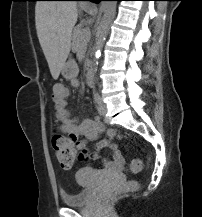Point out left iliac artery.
Returning <instances> with one entry per match:
<instances>
[{
    "label": "left iliac artery",
    "mask_w": 202,
    "mask_h": 217,
    "mask_svg": "<svg viewBox=\"0 0 202 217\" xmlns=\"http://www.w3.org/2000/svg\"><path fill=\"white\" fill-rule=\"evenodd\" d=\"M94 100L96 103H99L101 100L100 95L97 92L94 93Z\"/></svg>",
    "instance_id": "left-iliac-artery-1"
}]
</instances>
